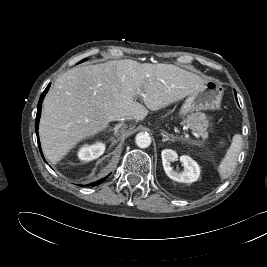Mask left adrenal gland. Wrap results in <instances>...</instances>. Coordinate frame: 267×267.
<instances>
[{
	"mask_svg": "<svg viewBox=\"0 0 267 267\" xmlns=\"http://www.w3.org/2000/svg\"><path fill=\"white\" fill-rule=\"evenodd\" d=\"M161 135L163 136V139H162L163 142H165V141H172V142H174L175 140H180V138H178L176 136H173L172 134H168L164 130H162ZM189 143H192L194 145H197V143L194 142V141H190Z\"/></svg>",
	"mask_w": 267,
	"mask_h": 267,
	"instance_id": "a2214340",
	"label": "left adrenal gland"
}]
</instances>
